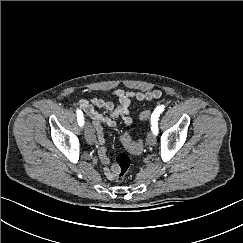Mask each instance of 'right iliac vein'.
Here are the masks:
<instances>
[{
	"label": "right iliac vein",
	"mask_w": 243,
	"mask_h": 243,
	"mask_svg": "<svg viewBox=\"0 0 243 243\" xmlns=\"http://www.w3.org/2000/svg\"><path fill=\"white\" fill-rule=\"evenodd\" d=\"M85 139L88 144L92 145L95 142L94 131L89 122L85 123Z\"/></svg>",
	"instance_id": "63e3f726"
}]
</instances>
